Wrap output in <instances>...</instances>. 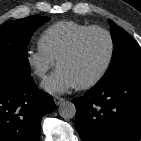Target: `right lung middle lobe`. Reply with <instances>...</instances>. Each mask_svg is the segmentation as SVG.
Returning <instances> with one entry per match:
<instances>
[{
	"label": "right lung middle lobe",
	"mask_w": 141,
	"mask_h": 141,
	"mask_svg": "<svg viewBox=\"0 0 141 141\" xmlns=\"http://www.w3.org/2000/svg\"><path fill=\"white\" fill-rule=\"evenodd\" d=\"M49 19L32 15L0 26V78L30 75L28 43L33 32Z\"/></svg>",
	"instance_id": "1"
}]
</instances>
